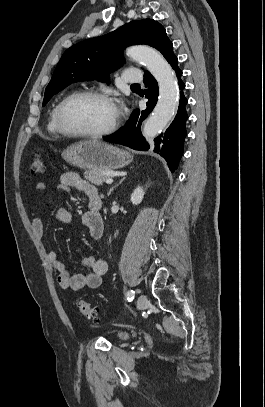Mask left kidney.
<instances>
[{
    "label": "left kidney",
    "mask_w": 265,
    "mask_h": 407,
    "mask_svg": "<svg viewBox=\"0 0 265 407\" xmlns=\"http://www.w3.org/2000/svg\"><path fill=\"white\" fill-rule=\"evenodd\" d=\"M144 194H145V192H144L143 188L137 187L131 195L132 204H134V205L140 204L143 200Z\"/></svg>",
    "instance_id": "obj_1"
}]
</instances>
